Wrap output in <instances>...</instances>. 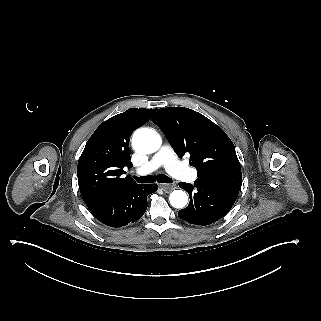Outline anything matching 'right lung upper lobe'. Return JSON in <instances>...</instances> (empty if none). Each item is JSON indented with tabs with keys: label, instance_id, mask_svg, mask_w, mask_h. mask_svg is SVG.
<instances>
[{
	"label": "right lung upper lobe",
	"instance_id": "1",
	"mask_svg": "<svg viewBox=\"0 0 321 321\" xmlns=\"http://www.w3.org/2000/svg\"><path fill=\"white\" fill-rule=\"evenodd\" d=\"M156 109L130 108L103 122L90 137L77 166L79 189L84 202L112 195L137 185L123 177L124 167H132L131 133L148 121Z\"/></svg>",
	"mask_w": 321,
	"mask_h": 321
}]
</instances>
